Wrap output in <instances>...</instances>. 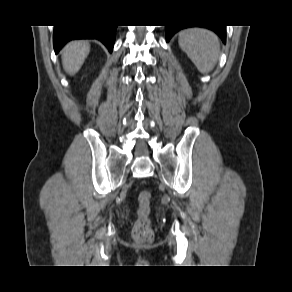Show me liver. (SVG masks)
Listing matches in <instances>:
<instances>
[{"instance_id": "obj_1", "label": "liver", "mask_w": 292, "mask_h": 292, "mask_svg": "<svg viewBox=\"0 0 292 292\" xmlns=\"http://www.w3.org/2000/svg\"><path fill=\"white\" fill-rule=\"evenodd\" d=\"M90 46L86 41H75L69 43L62 54V62L66 72L74 75L83 65L89 54Z\"/></svg>"}]
</instances>
